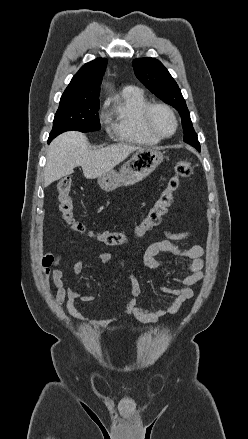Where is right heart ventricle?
I'll return each mask as SVG.
<instances>
[{"instance_id": "right-heart-ventricle-1", "label": "right heart ventricle", "mask_w": 248, "mask_h": 439, "mask_svg": "<svg viewBox=\"0 0 248 439\" xmlns=\"http://www.w3.org/2000/svg\"><path fill=\"white\" fill-rule=\"evenodd\" d=\"M149 100L141 89L122 91L108 114V127L119 141L142 146L156 145L161 139L144 125L142 114Z\"/></svg>"}]
</instances>
